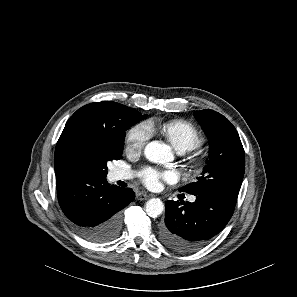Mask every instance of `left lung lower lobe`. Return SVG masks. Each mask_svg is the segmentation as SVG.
<instances>
[{
	"instance_id": "obj_1",
	"label": "left lung lower lobe",
	"mask_w": 297,
	"mask_h": 297,
	"mask_svg": "<svg viewBox=\"0 0 297 297\" xmlns=\"http://www.w3.org/2000/svg\"><path fill=\"white\" fill-rule=\"evenodd\" d=\"M239 191L214 189L196 195L193 203L167 201L161 241L170 249L191 253L205 246L233 215Z\"/></svg>"
}]
</instances>
